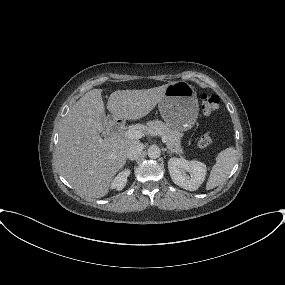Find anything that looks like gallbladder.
Listing matches in <instances>:
<instances>
[{"mask_svg": "<svg viewBox=\"0 0 285 285\" xmlns=\"http://www.w3.org/2000/svg\"><path fill=\"white\" fill-rule=\"evenodd\" d=\"M100 119H101V122L103 124L104 130H106L109 127L110 118L105 116L104 114H101Z\"/></svg>", "mask_w": 285, "mask_h": 285, "instance_id": "gallbladder-1", "label": "gallbladder"}]
</instances>
